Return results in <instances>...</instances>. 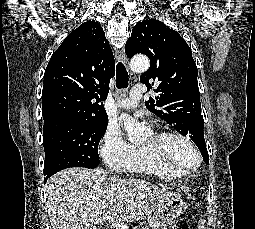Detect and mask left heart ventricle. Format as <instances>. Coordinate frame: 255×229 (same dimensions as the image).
<instances>
[{
  "label": "left heart ventricle",
  "mask_w": 255,
  "mask_h": 229,
  "mask_svg": "<svg viewBox=\"0 0 255 229\" xmlns=\"http://www.w3.org/2000/svg\"><path fill=\"white\" fill-rule=\"evenodd\" d=\"M142 145L155 146L161 156L177 168L193 166L197 162V156L191 147L176 138H167L156 143L153 135H150Z\"/></svg>",
  "instance_id": "1"
}]
</instances>
